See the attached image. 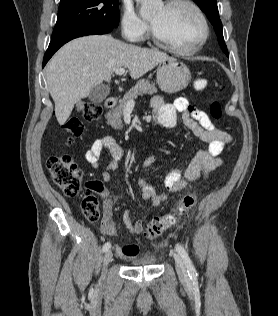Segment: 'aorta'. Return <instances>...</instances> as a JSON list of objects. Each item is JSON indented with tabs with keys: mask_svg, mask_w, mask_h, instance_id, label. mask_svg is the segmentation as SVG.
I'll return each instance as SVG.
<instances>
[{
	"mask_svg": "<svg viewBox=\"0 0 278 316\" xmlns=\"http://www.w3.org/2000/svg\"><path fill=\"white\" fill-rule=\"evenodd\" d=\"M141 4L140 14L146 18L157 10L161 0H137Z\"/></svg>",
	"mask_w": 278,
	"mask_h": 316,
	"instance_id": "obj_1",
	"label": "aorta"
}]
</instances>
